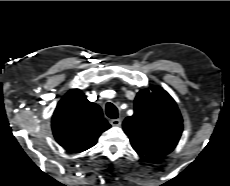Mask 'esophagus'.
<instances>
[{"label":"esophagus","instance_id":"obj_1","mask_svg":"<svg viewBox=\"0 0 230 186\" xmlns=\"http://www.w3.org/2000/svg\"><path fill=\"white\" fill-rule=\"evenodd\" d=\"M110 123L112 126H120L122 122L121 119H112Z\"/></svg>","mask_w":230,"mask_h":186}]
</instances>
